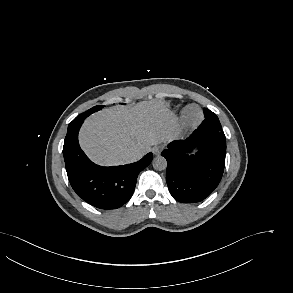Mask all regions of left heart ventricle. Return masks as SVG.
Listing matches in <instances>:
<instances>
[{
	"instance_id": "obj_1",
	"label": "left heart ventricle",
	"mask_w": 293,
	"mask_h": 293,
	"mask_svg": "<svg viewBox=\"0 0 293 293\" xmlns=\"http://www.w3.org/2000/svg\"><path fill=\"white\" fill-rule=\"evenodd\" d=\"M197 116H198V112L195 109H192L189 111V117L191 119H195V118H197Z\"/></svg>"
}]
</instances>
